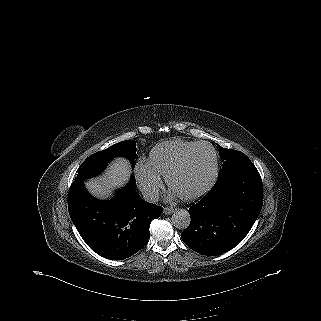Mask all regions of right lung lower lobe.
<instances>
[{
  "mask_svg": "<svg viewBox=\"0 0 321 321\" xmlns=\"http://www.w3.org/2000/svg\"><path fill=\"white\" fill-rule=\"evenodd\" d=\"M68 210L85 243L111 260L137 253L149 239L151 221L162 213L161 207L141 199L129 185L111 200L100 201L77 182L69 190Z\"/></svg>",
  "mask_w": 321,
  "mask_h": 321,
  "instance_id": "1",
  "label": "right lung lower lobe"
}]
</instances>
